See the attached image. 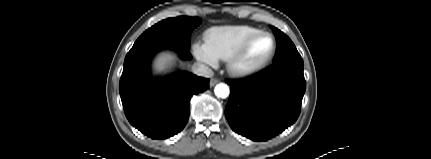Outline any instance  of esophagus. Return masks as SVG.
Segmentation results:
<instances>
[{"label": "esophagus", "instance_id": "1", "mask_svg": "<svg viewBox=\"0 0 431 159\" xmlns=\"http://www.w3.org/2000/svg\"><path fill=\"white\" fill-rule=\"evenodd\" d=\"M219 82V80L218 79H216V78H212L211 80H210V82H209V86L210 87H213L215 84H217Z\"/></svg>", "mask_w": 431, "mask_h": 159}]
</instances>
